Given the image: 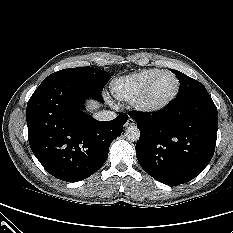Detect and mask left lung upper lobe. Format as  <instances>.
<instances>
[{
	"instance_id": "5c2ea615",
	"label": "left lung upper lobe",
	"mask_w": 233,
	"mask_h": 233,
	"mask_svg": "<svg viewBox=\"0 0 233 233\" xmlns=\"http://www.w3.org/2000/svg\"><path fill=\"white\" fill-rule=\"evenodd\" d=\"M171 71L177 76L180 82L181 89H180L179 97L185 96L189 94L190 92L197 90V89H206L199 81L188 77L182 72H179L174 69H171Z\"/></svg>"
}]
</instances>
